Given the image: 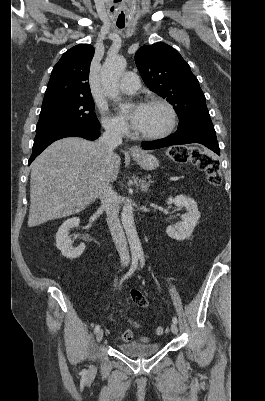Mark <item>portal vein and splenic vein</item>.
Returning a JSON list of instances; mask_svg holds the SVG:
<instances>
[{
	"label": "portal vein and splenic vein",
	"mask_w": 265,
	"mask_h": 401,
	"mask_svg": "<svg viewBox=\"0 0 265 401\" xmlns=\"http://www.w3.org/2000/svg\"><path fill=\"white\" fill-rule=\"evenodd\" d=\"M168 180L178 181V180H182V177H179V176H172V177H168Z\"/></svg>",
	"instance_id": "1"
}]
</instances>
